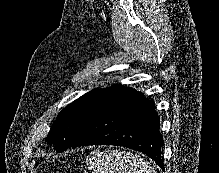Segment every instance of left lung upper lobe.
I'll list each match as a JSON object with an SVG mask.
<instances>
[{
  "label": "left lung upper lobe",
  "mask_w": 219,
  "mask_h": 173,
  "mask_svg": "<svg viewBox=\"0 0 219 173\" xmlns=\"http://www.w3.org/2000/svg\"><path fill=\"white\" fill-rule=\"evenodd\" d=\"M121 84L105 89H93L67 105L52 124L46 141L54 144L57 152L71 146L96 113L123 89Z\"/></svg>",
  "instance_id": "obj_1"
}]
</instances>
